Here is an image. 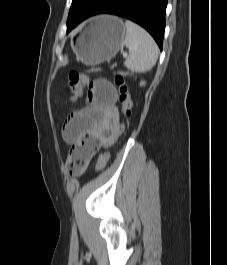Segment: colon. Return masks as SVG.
<instances>
[{
	"instance_id": "5ec220e1",
	"label": "colon",
	"mask_w": 227,
	"mask_h": 265,
	"mask_svg": "<svg viewBox=\"0 0 227 265\" xmlns=\"http://www.w3.org/2000/svg\"><path fill=\"white\" fill-rule=\"evenodd\" d=\"M90 83V78L85 74L72 71L67 80L66 88L71 94V99L75 100L82 93V89ZM114 83L118 89V100L121 105V112L123 116L127 117L131 114L132 100L130 96L129 87L122 76H115ZM110 159V153L108 151L101 154L97 164L95 166V171L100 172L105 169L108 161ZM86 164V156L81 153L77 148H72L67 159V167L70 172L78 173Z\"/></svg>"
}]
</instances>
